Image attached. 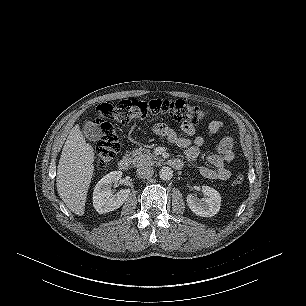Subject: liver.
Returning a JSON list of instances; mask_svg holds the SVG:
<instances>
[{
    "label": "liver",
    "mask_w": 306,
    "mask_h": 306,
    "mask_svg": "<svg viewBox=\"0 0 306 306\" xmlns=\"http://www.w3.org/2000/svg\"><path fill=\"white\" fill-rule=\"evenodd\" d=\"M94 149L86 143L78 125L74 126L62 149L57 167V191L76 215L85 212L88 188L94 172Z\"/></svg>",
    "instance_id": "1"
}]
</instances>
